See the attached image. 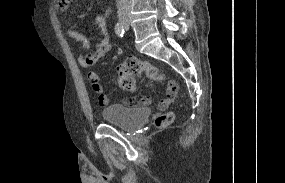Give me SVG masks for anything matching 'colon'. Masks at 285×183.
Wrapping results in <instances>:
<instances>
[{"label": "colon", "instance_id": "colon-1", "mask_svg": "<svg viewBox=\"0 0 285 183\" xmlns=\"http://www.w3.org/2000/svg\"><path fill=\"white\" fill-rule=\"evenodd\" d=\"M64 2V0H60ZM118 73V85L122 90L133 91L136 88V77L144 74L146 77L153 81H163L165 75L154 65L138 60L135 57H128L124 62L117 66ZM132 103L147 104L148 99L137 98L131 99ZM173 114L171 112H165L158 115L154 121L157 128H163L168 126L173 121Z\"/></svg>", "mask_w": 285, "mask_h": 183}]
</instances>
